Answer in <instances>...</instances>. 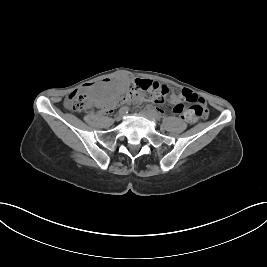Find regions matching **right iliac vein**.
<instances>
[{"instance_id":"1","label":"right iliac vein","mask_w":267,"mask_h":267,"mask_svg":"<svg viewBox=\"0 0 267 267\" xmlns=\"http://www.w3.org/2000/svg\"><path fill=\"white\" fill-rule=\"evenodd\" d=\"M124 116V114L122 113H119L117 116H116V121H120L122 119V117Z\"/></svg>"}]
</instances>
